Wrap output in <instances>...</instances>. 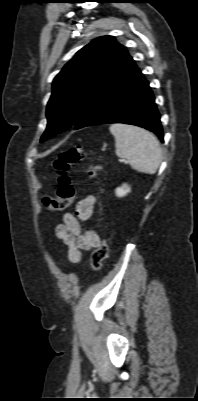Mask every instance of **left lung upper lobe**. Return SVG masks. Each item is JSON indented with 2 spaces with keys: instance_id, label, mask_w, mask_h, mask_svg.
<instances>
[{
  "instance_id": "1",
  "label": "left lung upper lobe",
  "mask_w": 198,
  "mask_h": 401,
  "mask_svg": "<svg viewBox=\"0 0 198 401\" xmlns=\"http://www.w3.org/2000/svg\"><path fill=\"white\" fill-rule=\"evenodd\" d=\"M129 57L113 36L96 38L79 50L54 78L47 104L48 124L40 141L74 126Z\"/></svg>"
}]
</instances>
